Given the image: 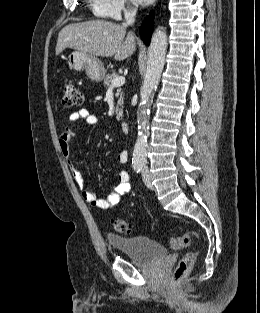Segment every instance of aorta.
Here are the masks:
<instances>
[{"label": "aorta", "instance_id": "1", "mask_svg": "<svg viewBox=\"0 0 260 313\" xmlns=\"http://www.w3.org/2000/svg\"><path fill=\"white\" fill-rule=\"evenodd\" d=\"M167 49V34L163 28H158L152 36L146 74L140 89V108L138 111V136L133 150V163L144 164L147 154L149 136L150 101L156 89L165 63Z\"/></svg>", "mask_w": 260, "mask_h": 313}]
</instances>
